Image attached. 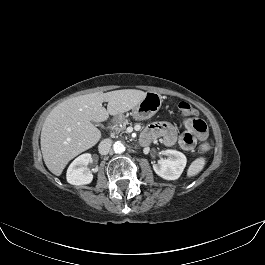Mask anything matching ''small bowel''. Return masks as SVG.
<instances>
[{"instance_id":"small-bowel-1","label":"small bowel","mask_w":265,"mask_h":265,"mask_svg":"<svg viewBox=\"0 0 265 265\" xmlns=\"http://www.w3.org/2000/svg\"><path fill=\"white\" fill-rule=\"evenodd\" d=\"M185 131L178 136L175 127L167 122L152 123L147 127L142 135V141L145 144L152 142L157 138H161L166 146H171L178 140L180 146L185 150H192L197 140L204 141L207 139L208 130L206 124L193 117L182 119Z\"/></svg>"}]
</instances>
